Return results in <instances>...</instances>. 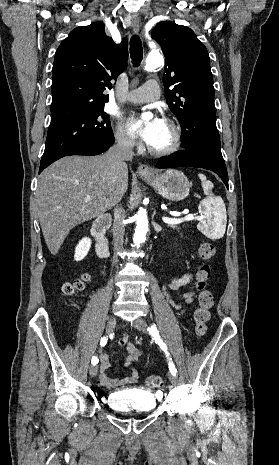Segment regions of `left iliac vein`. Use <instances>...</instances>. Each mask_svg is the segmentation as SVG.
<instances>
[{
    "label": "left iliac vein",
    "instance_id": "left-iliac-vein-1",
    "mask_svg": "<svg viewBox=\"0 0 279 465\" xmlns=\"http://www.w3.org/2000/svg\"><path fill=\"white\" fill-rule=\"evenodd\" d=\"M132 325H133L136 329H138L139 331H142V332H145V333H147V331H148V324H147V322H146L144 319H142V318H137L136 320H134L133 323H132ZM168 377H169V380H170L171 384H172V385H176V383H177V377H176V375H173L172 373H170V374L168 375Z\"/></svg>",
    "mask_w": 279,
    "mask_h": 465
}]
</instances>
